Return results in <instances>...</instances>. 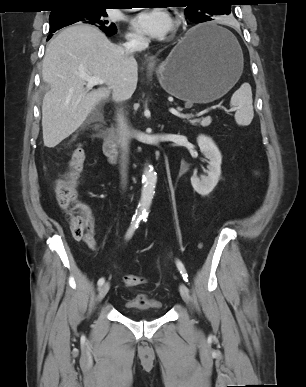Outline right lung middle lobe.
Masks as SVG:
<instances>
[{"instance_id": "obj_1", "label": "right lung middle lobe", "mask_w": 306, "mask_h": 387, "mask_svg": "<svg viewBox=\"0 0 306 387\" xmlns=\"http://www.w3.org/2000/svg\"><path fill=\"white\" fill-rule=\"evenodd\" d=\"M107 16L105 9L100 6L81 5L61 8L50 14V33L76 22L90 23L99 27L103 32L116 31L115 24L105 20Z\"/></svg>"}]
</instances>
